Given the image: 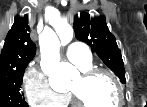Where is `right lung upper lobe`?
Wrapping results in <instances>:
<instances>
[{"label":"right lung upper lobe","mask_w":147,"mask_h":107,"mask_svg":"<svg viewBox=\"0 0 147 107\" xmlns=\"http://www.w3.org/2000/svg\"><path fill=\"white\" fill-rule=\"evenodd\" d=\"M26 18H15L0 55V75L26 68L36 54Z\"/></svg>","instance_id":"1"}]
</instances>
